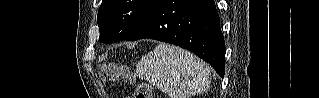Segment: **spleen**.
<instances>
[{
    "instance_id": "3e777b00",
    "label": "spleen",
    "mask_w": 319,
    "mask_h": 98,
    "mask_svg": "<svg viewBox=\"0 0 319 98\" xmlns=\"http://www.w3.org/2000/svg\"><path fill=\"white\" fill-rule=\"evenodd\" d=\"M135 75L149 81L170 98L201 94L210 85V69L193 54L167 44H159L137 63Z\"/></svg>"
}]
</instances>
